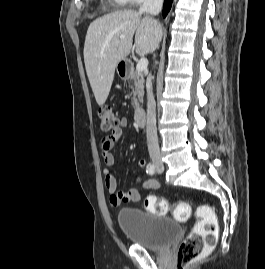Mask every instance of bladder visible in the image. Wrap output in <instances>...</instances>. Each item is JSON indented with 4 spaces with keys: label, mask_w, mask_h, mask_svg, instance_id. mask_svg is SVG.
<instances>
[{
    "label": "bladder",
    "mask_w": 265,
    "mask_h": 269,
    "mask_svg": "<svg viewBox=\"0 0 265 269\" xmlns=\"http://www.w3.org/2000/svg\"><path fill=\"white\" fill-rule=\"evenodd\" d=\"M117 223L130 242L154 251L168 248L181 232L179 224L170 218L137 208L121 209Z\"/></svg>",
    "instance_id": "bladder-1"
}]
</instances>
